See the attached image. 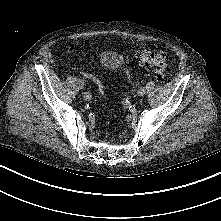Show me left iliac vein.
Listing matches in <instances>:
<instances>
[{
	"label": "left iliac vein",
	"mask_w": 221,
	"mask_h": 221,
	"mask_svg": "<svg viewBox=\"0 0 221 221\" xmlns=\"http://www.w3.org/2000/svg\"><path fill=\"white\" fill-rule=\"evenodd\" d=\"M145 93H146V89H145L144 86L140 87V88L138 89V91H137V94H138L139 96H142V95H144Z\"/></svg>",
	"instance_id": "1"
}]
</instances>
